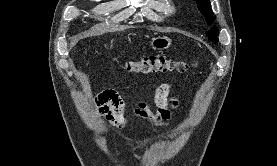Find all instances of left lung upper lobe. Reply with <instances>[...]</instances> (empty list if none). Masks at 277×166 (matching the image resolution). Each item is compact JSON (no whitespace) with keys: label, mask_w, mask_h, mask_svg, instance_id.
<instances>
[{"label":"left lung upper lobe","mask_w":277,"mask_h":166,"mask_svg":"<svg viewBox=\"0 0 277 166\" xmlns=\"http://www.w3.org/2000/svg\"><path fill=\"white\" fill-rule=\"evenodd\" d=\"M198 4V8L203 15H205L208 24H211V21L214 19L210 14H212L211 5L209 0H196ZM206 35L210 38V40L214 43L218 42V28L213 26L209 31L206 32Z\"/></svg>","instance_id":"left-lung-upper-lobe-1"}]
</instances>
